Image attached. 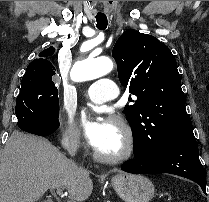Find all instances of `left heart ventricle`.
<instances>
[{
	"mask_svg": "<svg viewBox=\"0 0 209 202\" xmlns=\"http://www.w3.org/2000/svg\"><path fill=\"white\" fill-rule=\"evenodd\" d=\"M123 146L124 136L121 130L115 124L107 122L103 140L95 149L100 153L111 155L120 152Z\"/></svg>",
	"mask_w": 209,
	"mask_h": 202,
	"instance_id": "obj_1",
	"label": "left heart ventricle"
}]
</instances>
